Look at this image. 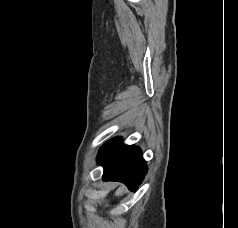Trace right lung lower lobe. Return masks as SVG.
<instances>
[{"label":"right lung lower lobe","instance_id":"98d812e1","mask_svg":"<svg viewBox=\"0 0 238 228\" xmlns=\"http://www.w3.org/2000/svg\"><path fill=\"white\" fill-rule=\"evenodd\" d=\"M97 161L104 167L103 180L123 182L132 191H136L147 173L140 148L122 145L121 137L106 142Z\"/></svg>","mask_w":238,"mask_h":228}]
</instances>
